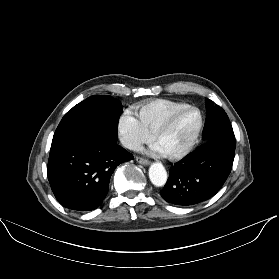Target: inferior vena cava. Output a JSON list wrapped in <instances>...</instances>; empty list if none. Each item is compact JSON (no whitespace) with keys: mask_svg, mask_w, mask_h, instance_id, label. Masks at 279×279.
Here are the masks:
<instances>
[{"mask_svg":"<svg viewBox=\"0 0 279 279\" xmlns=\"http://www.w3.org/2000/svg\"><path fill=\"white\" fill-rule=\"evenodd\" d=\"M122 144L124 147L133 151H139L141 149V144L134 140H123Z\"/></svg>","mask_w":279,"mask_h":279,"instance_id":"602c4592","label":"inferior vena cava"}]
</instances>
